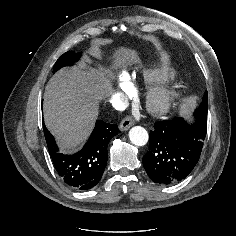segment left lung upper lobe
<instances>
[{"label":"left lung upper lobe","mask_w":236,"mask_h":236,"mask_svg":"<svg viewBox=\"0 0 236 236\" xmlns=\"http://www.w3.org/2000/svg\"><path fill=\"white\" fill-rule=\"evenodd\" d=\"M207 113H208V94L207 92H205L200 107L195 110V117L201 118L203 116H207Z\"/></svg>","instance_id":"obj_1"}]
</instances>
